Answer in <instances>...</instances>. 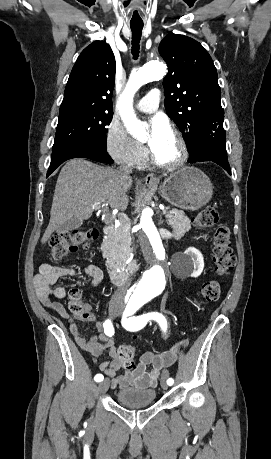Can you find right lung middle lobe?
Wrapping results in <instances>:
<instances>
[{
    "label": "right lung middle lobe",
    "mask_w": 271,
    "mask_h": 459,
    "mask_svg": "<svg viewBox=\"0 0 271 459\" xmlns=\"http://www.w3.org/2000/svg\"><path fill=\"white\" fill-rule=\"evenodd\" d=\"M113 113L105 112H63L59 113L53 150L62 146L84 142L106 145V126Z\"/></svg>",
    "instance_id": "right-lung-middle-lobe-1"
}]
</instances>
